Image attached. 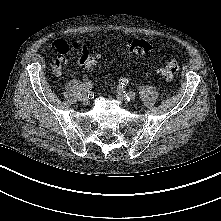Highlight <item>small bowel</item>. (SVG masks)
I'll return each mask as SVG.
<instances>
[{
  "label": "small bowel",
  "mask_w": 221,
  "mask_h": 221,
  "mask_svg": "<svg viewBox=\"0 0 221 221\" xmlns=\"http://www.w3.org/2000/svg\"><path fill=\"white\" fill-rule=\"evenodd\" d=\"M52 46L58 52V56L52 64L53 71L56 75L61 74L63 65L67 63V54L71 50L79 53L81 56L84 53L88 52L87 46L80 42L69 44L68 42L64 40L58 39L53 42Z\"/></svg>",
  "instance_id": "obj_1"
}]
</instances>
